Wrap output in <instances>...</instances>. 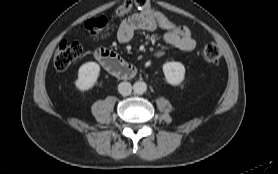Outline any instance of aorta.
Masks as SVG:
<instances>
[{
  "label": "aorta",
  "mask_w": 278,
  "mask_h": 174,
  "mask_svg": "<svg viewBox=\"0 0 278 174\" xmlns=\"http://www.w3.org/2000/svg\"><path fill=\"white\" fill-rule=\"evenodd\" d=\"M133 90L136 94H143L147 90V84L143 81L135 82L133 85Z\"/></svg>",
  "instance_id": "aorta-1"
}]
</instances>
